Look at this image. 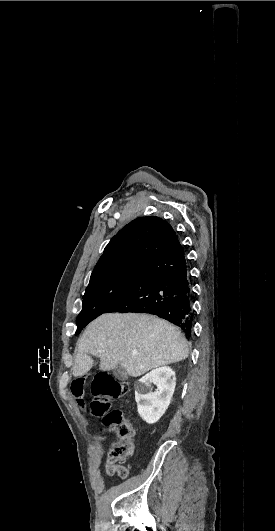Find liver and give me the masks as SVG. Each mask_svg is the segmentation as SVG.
Wrapping results in <instances>:
<instances>
[{
  "mask_svg": "<svg viewBox=\"0 0 275 531\" xmlns=\"http://www.w3.org/2000/svg\"><path fill=\"white\" fill-rule=\"evenodd\" d=\"M133 353H137L133 357ZM99 357L101 371L121 365L130 377H140L156 367L184 361L188 343L178 327L154 315L107 313L88 325L78 345L74 377H82Z\"/></svg>",
  "mask_w": 275,
  "mask_h": 531,
  "instance_id": "obj_1",
  "label": "liver"
}]
</instances>
